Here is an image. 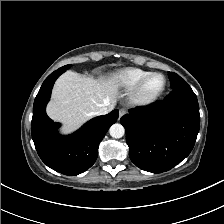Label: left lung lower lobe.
I'll return each instance as SVG.
<instances>
[{
    "label": "left lung lower lobe",
    "instance_id": "1",
    "mask_svg": "<svg viewBox=\"0 0 224 224\" xmlns=\"http://www.w3.org/2000/svg\"><path fill=\"white\" fill-rule=\"evenodd\" d=\"M120 122L131 161L142 170L162 173L193 149L200 126L197 97L185 83L163 101L129 110Z\"/></svg>",
    "mask_w": 224,
    "mask_h": 224
}]
</instances>
